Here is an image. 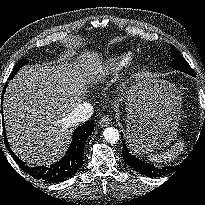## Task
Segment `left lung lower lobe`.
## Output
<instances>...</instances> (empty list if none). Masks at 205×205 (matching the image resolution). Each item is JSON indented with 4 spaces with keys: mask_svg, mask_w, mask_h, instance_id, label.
Instances as JSON below:
<instances>
[{
    "mask_svg": "<svg viewBox=\"0 0 205 205\" xmlns=\"http://www.w3.org/2000/svg\"><path fill=\"white\" fill-rule=\"evenodd\" d=\"M192 76H195V74H192ZM124 144V148L122 150V156L124 159V162L131 166L132 168H134L137 172L143 174V175H147L149 177H158L161 176L163 174H166L169 172V167H163L161 169L154 167L151 164L145 163L139 159H137L134 155H132L127 146Z\"/></svg>",
    "mask_w": 205,
    "mask_h": 205,
    "instance_id": "0a47b994",
    "label": "left lung lower lobe"
}]
</instances>
